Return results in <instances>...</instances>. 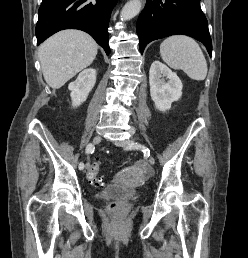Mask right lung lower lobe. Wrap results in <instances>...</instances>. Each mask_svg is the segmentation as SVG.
<instances>
[{
  "label": "right lung lower lobe",
  "mask_w": 248,
  "mask_h": 258,
  "mask_svg": "<svg viewBox=\"0 0 248 258\" xmlns=\"http://www.w3.org/2000/svg\"><path fill=\"white\" fill-rule=\"evenodd\" d=\"M117 0H43L36 25L37 45L63 29L89 33L110 53L107 32L110 14Z\"/></svg>",
  "instance_id": "98d812e1"
}]
</instances>
